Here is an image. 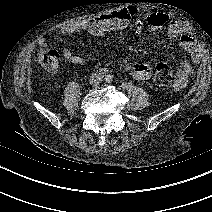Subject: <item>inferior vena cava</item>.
<instances>
[{
  "label": "inferior vena cava",
  "mask_w": 212,
  "mask_h": 212,
  "mask_svg": "<svg viewBox=\"0 0 212 212\" xmlns=\"http://www.w3.org/2000/svg\"><path fill=\"white\" fill-rule=\"evenodd\" d=\"M101 82V78L100 77H96V75H92L91 77H90V84L91 85H98L99 83Z\"/></svg>",
  "instance_id": "602c4592"
}]
</instances>
